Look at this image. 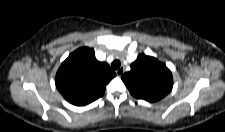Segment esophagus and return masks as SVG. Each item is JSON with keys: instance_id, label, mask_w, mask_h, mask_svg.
Wrapping results in <instances>:
<instances>
[{"instance_id": "34e87169", "label": "esophagus", "mask_w": 225, "mask_h": 132, "mask_svg": "<svg viewBox=\"0 0 225 132\" xmlns=\"http://www.w3.org/2000/svg\"><path fill=\"white\" fill-rule=\"evenodd\" d=\"M124 73V67H120L116 70V74L117 76H121Z\"/></svg>"}]
</instances>
